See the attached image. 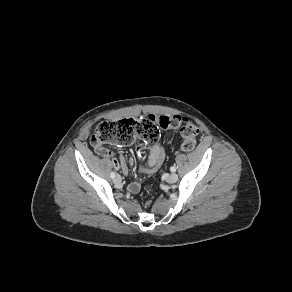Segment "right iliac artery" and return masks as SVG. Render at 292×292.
I'll list each match as a JSON object with an SVG mask.
<instances>
[{"instance_id":"82829eb1","label":"right iliac artery","mask_w":292,"mask_h":292,"mask_svg":"<svg viewBox=\"0 0 292 292\" xmlns=\"http://www.w3.org/2000/svg\"><path fill=\"white\" fill-rule=\"evenodd\" d=\"M110 176H111V178H115V173L112 172Z\"/></svg>"}]
</instances>
